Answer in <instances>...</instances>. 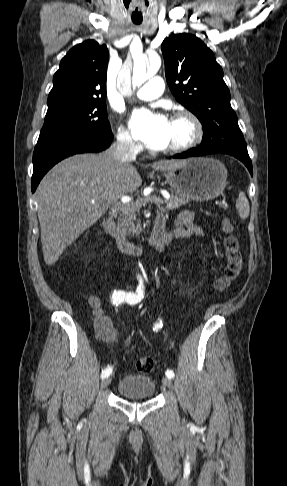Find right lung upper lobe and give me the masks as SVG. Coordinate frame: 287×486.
<instances>
[{
    "instance_id": "obj_1",
    "label": "right lung upper lobe",
    "mask_w": 287,
    "mask_h": 486,
    "mask_svg": "<svg viewBox=\"0 0 287 486\" xmlns=\"http://www.w3.org/2000/svg\"><path fill=\"white\" fill-rule=\"evenodd\" d=\"M108 49L94 40L74 46L53 77L48 107L75 101L106 99Z\"/></svg>"
}]
</instances>
